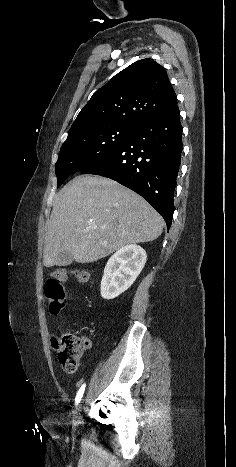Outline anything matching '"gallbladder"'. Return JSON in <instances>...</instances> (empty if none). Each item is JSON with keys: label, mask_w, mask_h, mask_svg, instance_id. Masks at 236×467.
<instances>
[{"label": "gallbladder", "mask_w": 236, "mask_h": 467, "mask_svg": "<svg viewBox=\"0 0 236 467\" xmlns=\"http://www.w3.org/2000/svg\"><path fill=\"white\" fill-rule=\"evenodd\" d=\"M58 266H68L73 262L72 255L67 251H62L57 255Z\"/></svg>", "instance_id": "1"}]
</instances>
